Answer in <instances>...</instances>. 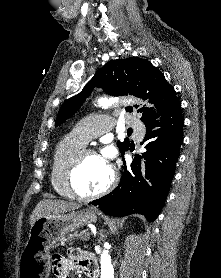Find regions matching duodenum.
Wrapping results in <instances>:
<instances>
[{"mask_svg": "<svg viewBox=\"0 0 221 278\" xmlns=\"http://www.w3.org/2000/svg\"><path fill=\"white\" fill-rule=\"evenodd\" d=\"M85 274L89 278H97L98 277V271H97V264L95 262H89L88 266L84 270Z\"/></svg>", "mask_w": 221, "mask_h": 278, "instance_id": "obj_1", "label": "duodenum"}]
</instances>
